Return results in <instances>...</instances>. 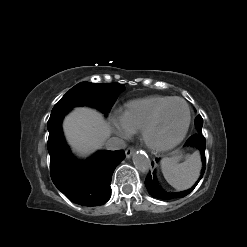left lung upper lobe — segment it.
<instances>
[{
    "mask_svg": "<svg viewBox=\"0 0 247 247\" xmlns=\"http://www.w3.org/2000/svg\"><path fill=\"white\" fill-rule=\"evenodd\" d=\"M195 123H196V127H197V130H198V133L197 134H201L202 132V126H203V119L200 115H198L195 119Z\"/></svg>",
    "mask_w": 247,
    "mask_h": 247,
    "instance_id": "left-lung-upper-lobe-1",
    "label": "left lung upper lobe"
}]
</instances>
